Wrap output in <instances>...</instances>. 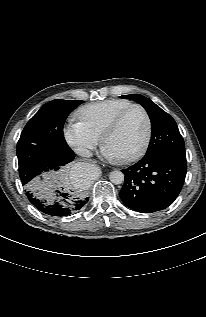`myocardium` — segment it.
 <instances>
[{
    "label": "myocardium",
    "mask_w": 206,
    "mask_h": 317,
    "mask_svg": "<svg viewBox=\"0 0 206 317\" xmlns=\"http://www.w3.org/2000/svg\"><path fill=\"white\" fill-rule=\"evenodd\" d=\"M134 109H139L145 117V121H146L145 136H144V139H143L141 145L135 151H133L132 153H130L128 155L119 157V159L122 161H132L134 159H137L146 151V149L149 146L151 135H152V120H151L150 114L147 111V109L141 104H132V105L128 106L127 108L122 110L120 113H118L109 122V124L106 126V128L104 129V131L101 135V142L104 145L108 136L110 134H112L119 127V125L122 123L123 119Z\"/></svg>",
    "instance_id": "obj_1"
}]
</instances>
